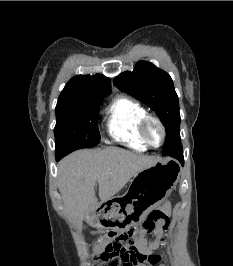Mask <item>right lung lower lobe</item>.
<instances>
[{
	"label": "right lung lower lobe",
	"mask_w": 233,
	"mask_h": 266,
	"mask_svg": "<svg viewBox=\"0 0 233 266\" xmlns=\"http://www.w3.org/2000/svg\"><path fill=\"white\" fill-rule=\"evenodd\" d=\"M62 157H64V156H62V155H56V161H59Z\"/></svg>",
	"instance_id": "obj_1"
}]
</instances>
